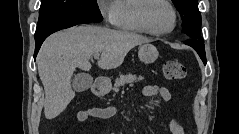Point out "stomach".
<instances>
[{"mask_svg": "<svg viewBox=\"0 0 239 134\" xmlns=\"http://www.w3.org/2000/svg\"><path fill=\"white\" fill-rule=\"evenodd\" d=\"M138 56L144 64H151L158 58V50L153 44L145 43L139 48ZM110 88V81L104 80L102 90L108 92Z\"/></svg>", "mask_w": 239, "mask_h": 134, "instance_id": "1", "label": "stomach"}]
</instances>
